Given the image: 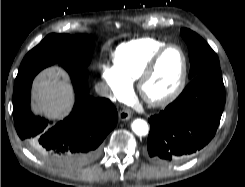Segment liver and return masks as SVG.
I'll use <instances>...</instances> for the list:
<instances>
[{"label": "liver", "instance_id": "6515ba94", "mask_svg": "<svg viewBox=\"0 0 245 187\" xmlns=\"http://www.w3.org/2000/svg\"><path fill=\"white\" fill-rule=\"evenodd\" d=\"M34 111L49 118L67 115L73 104L72 87L60 70L53 68L40 73L34 81Z\"/></svg>", "mask_w": 245, "mask_h": 187}]
</instances>
